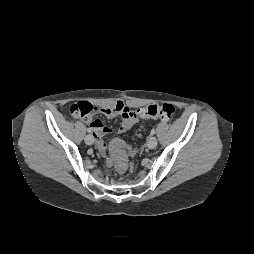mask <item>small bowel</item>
<instances>
[{"label":"small bowel","mask_w":254,"mask_h":254,"mask_svg":"<svg viewBox=\"0 0 254 254\" xmlns=\"http://www.w3.org/2000/svg\"><path fill=\"white\" fill-rule=\"evenodd\" d=\"M98 112L108 118H114L116 116L121 117L122 120L118 128V133L127 132L133 125L139 122V118L135 115L134 110L128 107L123 101H117L112 106L99 108ZM88 123L96 138L99 151L105 153L107 145L104 141V137L111 132L110 128L104 126L98 119H88ZM129 152L131 155L136 153L135 149L132 148H130Z\"/></svg>","instance_id":"small-bowel-1"}]
</instances>
